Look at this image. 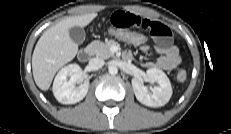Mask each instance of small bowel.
Segmentation results:
<instances>
[{"mask_svg":"<svg viewBox=\"0 0 231 134\" xmlns=\"http://www.w3.org/2000/svg\"><path fill=\"white\" fill-rule=\"evenodd\" d=\"M110 25L112 28L117 29L145 31L151 35L155 42V50L159 56L154 63H143L144 67L170 71L180 63L179 50L172 44L171 32L163 23L150 18H143L135 13L116 11L110 16ZM148 49V45L141 47L142 51H147ZM125 57L130 59L132 53L126 52Z\"/></svg>","mask_w":231,"mask_h":134,"instance_id":"1","label":"small bowel"}]
</instances>
